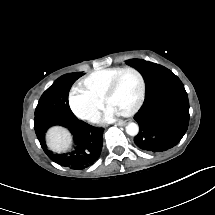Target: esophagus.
<instances>
[{"label": "esophagus", "mask_w": 215, "mask_h": 215, "mask_svg": "<svg viewBox=\"0 0 215 215\" xmlns=\"http://www.w3.org/2000/svg\"><path fill=\"white\" fill-rule=\"evenodd\" d=\"M131 121H132L131 119H127V120H125V121H123V122L118 123V125H120V126H125V125H127L128 123H130Z\"/></svg>", "instance_id": "obj_1"}]
</instances>
